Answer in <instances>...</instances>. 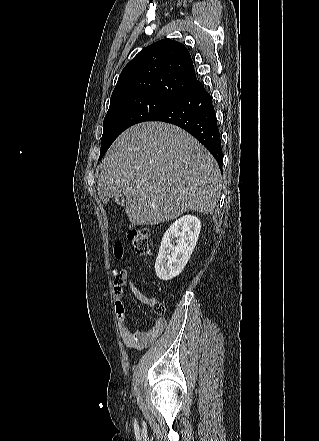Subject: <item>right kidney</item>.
<instances>
[{
  "instance_id": "obj_1",
  "label": "right kidney",
  "mask_w": 319,
  "mask_h": 441,
  "mask_svg": "<svg viewBox=\"0 0 319 441\" xmlns=\"http://www.w3.org/2000/svg\"><path fill=\"white\" fill-rule=\"evenodd\" d=\"M200 230V219L192 215L177 219L166 230L155 263L160 280L168 281L181 273L196 246Z\"/></svg>"
}]
</instances>
